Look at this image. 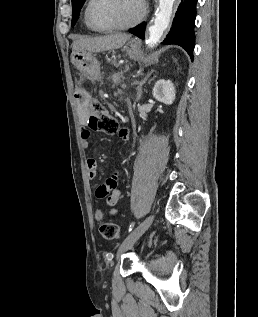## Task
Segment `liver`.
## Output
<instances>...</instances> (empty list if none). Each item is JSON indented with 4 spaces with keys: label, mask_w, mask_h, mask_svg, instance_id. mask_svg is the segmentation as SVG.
Here are the masks:
<instances>
[{
    "label": "liver",
    "mask_w": 258,
    "mask_h": 317,
    "mask_svg": "<svg viewBox=\"0 0 258 317\" xmlns=\"http://www.w3.org/2000/svg\"><path fill=\"white\" fill-rule=\"evenodd\" d=\"M131 34L126 32H115V34H106V36H94V38H76L72 44V54L75 50H90V52H101V50H113L120 48L129 40Z\"/></svg>",
    "instance_id": "obj_1"
}]
</instances>
